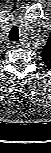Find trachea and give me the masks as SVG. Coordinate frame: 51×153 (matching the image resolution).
Masks as SVG:
<instances>
[{
  "label": "trachea",
  "mask_w": 51,
  "mask_h": 153,
  "mask_svg": "<svg viewBox=\"0 0 51 153\" xmlns=\"http://www.w3.org/2000/svg\"><path fill=\"white\" fill-rule=\"evenodd\" d=\"M10 41H18L19 40V29L17 26H13L9 32L8 36Z\"/></svg>",
  "instance_id": "3493384b"
}]
</instances>
